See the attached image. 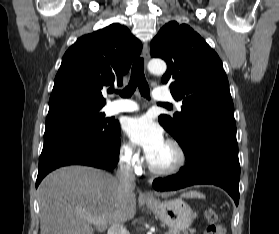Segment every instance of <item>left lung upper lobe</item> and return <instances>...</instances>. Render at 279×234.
Wrapping results in <instances>:
<instances>
[{
    "mask_svg": "<svg viewBox=\"0 0 279 234\" xmlns=\"http://www.w3.org/2000/svg\"><path fill=\"white\" fill-rule=\"evenodd\" d=\"M152 57L162 58L167 71L162 83L170 84L181 112L158 120L179 143L184 154L199 128L211 124L235 125L229 82L217 53L186 24L171 21L150 44Z\"/></svg>",
    "mask_w": 279,
    "mask_h": 234,
    "instance_id": "5c2ea615",
    "label": "left lung upper lobe"
}]
</instances>
